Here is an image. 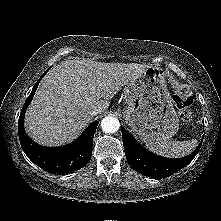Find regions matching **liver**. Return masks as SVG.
<instances>
[{"label": "liver", "mask_w": 221, "mask_h": 221, "mask_svg": "<svg viewBox=\"0 0 221 221\" xmlns=\"http://www.w3.org/2000/svg\"><path fill=\"white\" fill-rule=\"evenodd\" d=\"M148 65L66 60L43 78L25 113V129L44 146L76 139L92 121L90 111L108 109L109 100Z\"/></svg>", "instance_id": "1"}]
</instances>
